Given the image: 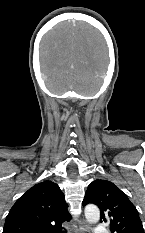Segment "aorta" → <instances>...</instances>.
<instances>
[{
	"instance_id": "aorta-1",
	"label": "aorta",
	"mask_w": 145,
	"mask_h": 233,
	"mask_svg": "<svg viewBox=\"0 0 145 233\" xmlns=\"http://www.w3.org/2000/svg\"><path fill=\"white\" fill-rule=\"evenodd\" d=\"M85 217L90 224H96L100 220V211L97 206L89 204L85 207Z\"/></svg>"
}]
</instances>
